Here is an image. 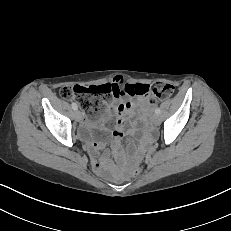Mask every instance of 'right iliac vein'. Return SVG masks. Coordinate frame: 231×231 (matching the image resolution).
Here are the masks:
<instances>
[{
  "label": "right iliac vein",
  "mask_w": 231,
  "mask_h": 231,
  "mask_svg": "<svg viewBox=\"0 0 231 231\" xmlns=\"http://www.w3.org/2000/svg\"><path fill=\"white\" fill-rule=\"evenodd\" d=\"M74 117H75L76 121L80 122L82 120V114H81V112L79 110H76L74 112Z\"/></svg>",
  "instance_id": "1"
}]
</instances>
